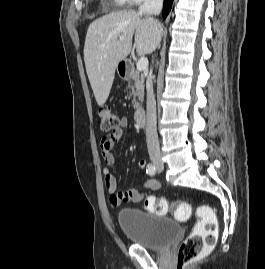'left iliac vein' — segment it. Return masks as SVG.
Wrapping results in <instances>:
<instances>
[{
	"mask_svg": "<svg viewBox=\"0 0 265 269\" xmlns=\"http://www.w3.org/2000/svg\"><path fill=\"white\" fill-rule=\"evenodd\" d=\"M163 170V165L160 163V165L157 166V171L162 172Z\"/></svg>",
	"mask_w": 265,
	"mask_h": 269,
	"instance_id": "obj_1",
	"label": "left iliac vein"
}]
</instances>
